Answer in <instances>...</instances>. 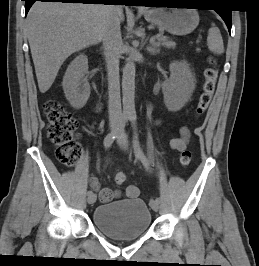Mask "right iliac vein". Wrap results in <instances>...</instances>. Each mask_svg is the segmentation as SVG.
Returning a JSON list of instances; mask_svg holds the SVG:
<instances>
[{
    "label": "right iliac vein",
    "mask_w": 259,
    "mask_h": 266,
    "mask_svg": "<svg viewBox=\"0 0 259 266\" xmlns=\"http://www.w3.org/2000/svg\"><path fill=\"white\" fill-rule=\"evenodd\" d=\"M117 127H118V122H117V121H113V122H111V124H110V130H111V131L116 130ZM95 201H96V195H95V194H92V195L88 196V198H87V202H88L89 204H93Z\"/></svg>",
    "instance_id": "63e3f726"
}]
</instances>
